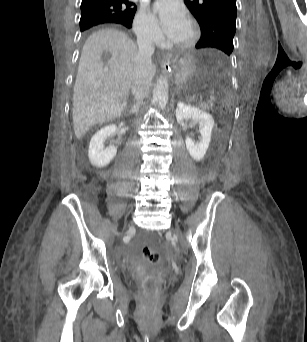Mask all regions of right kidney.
<instances>
[{
	"mask_svg": "<svg viewBox=\"0 0 307 342\" xmlns=\"http://www.w3.org/2000/svg\"><path fill=\"white\" fill-rule=\"evenodd\" d=\"M116 130L117 126H113V124H111V126L101 128V130H98V132L92 136L88 150V158L90 160V164L95 166V168H105V166L110 164L114 156H116L117 148H115V146H109V148L104 150L105 138L115 134Z\"/></svg>",
	"mask_w": 307,
	"mask_h": 342,
	"instance_id": "1",
	"label": "right kidney"
}]
</instances>
